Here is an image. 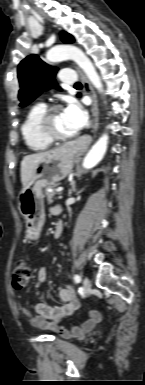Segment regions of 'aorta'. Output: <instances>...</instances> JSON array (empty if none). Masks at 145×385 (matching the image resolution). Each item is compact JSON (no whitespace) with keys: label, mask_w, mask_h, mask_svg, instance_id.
I'll use <instances>...</instances> for the list:
<instances>
[{"label":"aorta","mask_w":145,"mask_h":385,"mask_svg":"<svg viewBox=\"0 0 145 385\" xmlns=\"http://www.w3.org/2000/svg\"><path fill=\"white\" fill-rule=\"evenodd\" d=\"M46 58L50 62H58L66 59L73 60L86 74L92 85L100 92H103L101 79L85 53L78 47L72 45H61L50 49ZM108 145V135L104 133L92 146L83 160V167L90 169L96 166L104 157Z\"/></svg>","instance_id":"762f6f07"}]
</instances>
